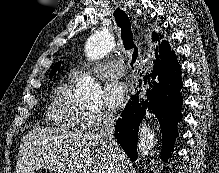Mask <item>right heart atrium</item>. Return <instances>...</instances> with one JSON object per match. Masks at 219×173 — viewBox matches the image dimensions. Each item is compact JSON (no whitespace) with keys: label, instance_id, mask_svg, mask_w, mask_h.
<instances>
[{"label":"right heart atrium","instance_id":"right-heart-atrium-1","mask_svg":"<svg viewBox=\"0 0 219 173\" xmlns=\"http://www.w3.org/2000/svg\"><path fill=\"white\" fill-rule=\"evenodd\" d=\"M112 118L113 114L109 110L101 107L95 111L87 113L86 125L89 128H97L102 124L109 122Z\"/></svg>","mask_w":219,"mask_h":173}]
</instances>
